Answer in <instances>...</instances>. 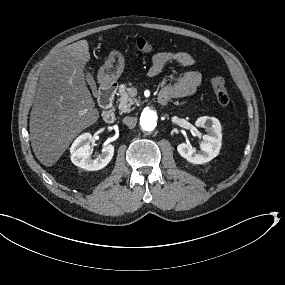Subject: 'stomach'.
Instances as JSON below:
<instances>
[{"label":"stomach","instance_id":"stomach-1","mask_svg":"<svg viewBox=\"0 0 285 285\" xmlns=\"http://www.w3.org/2000/svg\"><path fill=\"white\" fill-rule=\"evenodd\" d=\"M124 66L125 55L118 49L110 50L105 65L99 72V80L105 84L116 81L123 72Z\"/></svg>","mask_w":285,"mask_h":285}]
</instances>
